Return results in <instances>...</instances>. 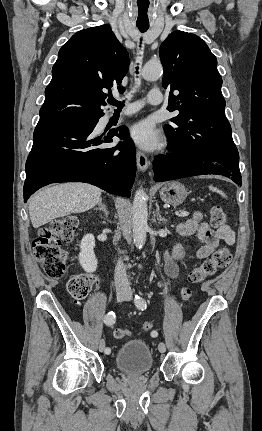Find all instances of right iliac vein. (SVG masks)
<instances>
[{"label": "right iliac vein", "mask_w": 262, "mask_h": 431, "mask_svg": "<svg viewBox=\"0 0 262 431\" xmlns=\"http://www.w3.org/2000/svg\"><path fill=\"white\" fill-rule=\"evenodd\" d=\"M127 294L123 291H117L116 293V297L118 301H123L126 298ZM98 349L100 352H104L105 351V340L101 339L99 341V346Z\"/></svg>", "instance_id": "right-iliac-vein-1"}]
</instances>
